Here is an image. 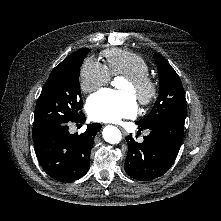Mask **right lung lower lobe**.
Here are the masks:
<instances>
[{"instance_id": "obj_1", "label": "right lung lower lobe", "mask_w": 221, "mask_h": 221, "mask_svg": "<svg viewBox=\"0 0 221 221\" xmlns=\"http://www.w3.org/2000/svg\"><path fill=\"white\" fill-rule=\"evenodd\" d=\"M82 114L74 121L84 123ZM55 124L33 136L34 149L43 170L53 179L70 182L84 176L89 169V159L94 137L101 124H89L87 130L78 135L68 132V124Z\"/></svg>"}]
</instances>
